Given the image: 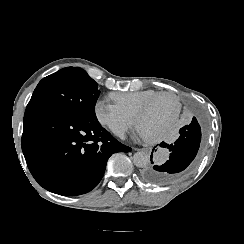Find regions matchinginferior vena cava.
Masks as SVG:
<instances>
[{"label": "inferior vena cava", "instance_id": "602c4592", "mask_svg": "<svg viewBox=\"0 0 244 244\" xmlns=\"http://www.w3.org/2000/svg\"><path fill=\"white\" fill-rule=\"evenodd\" d=\"M118 136L121 138V139H125V133L124 132H120L118 134Z\"/></svg>", "mask_w": 244, "mask_h": 244}]
</instances>
